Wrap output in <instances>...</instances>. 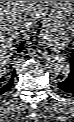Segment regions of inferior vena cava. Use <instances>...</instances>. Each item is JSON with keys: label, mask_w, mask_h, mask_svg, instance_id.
I'll list each match as a JSON object with an SVG mask.
<instances>
[{"label": "inferior vena cava", "mask_w": 74, "mask_h": 122, "mask_svg": "<svg viewBox=\"0 0 74 122\" xmlns=\"http://www.w3.org/2000/svg\"><path fill=\"white\" fill-rule=\"evenodd\" d=\"M28 25H29L28 23H27V24H25L23 27H21L20 31H21V32H24V31H25V30H24V29H25V27H27Z\"/></svg>", "instance_id": "obj_1"}]
</instances>
